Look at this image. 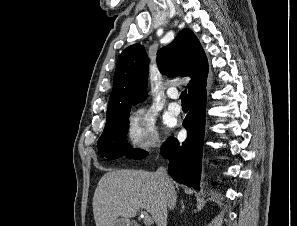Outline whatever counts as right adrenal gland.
Listing matches in <instances>:
<instances>
[{
	"instance_id": "obj_1",
	"label": "right adrenal gland",
	"mask_w": 297,
	"mask_h": 226,
	"mask_svg": "<svg viewBox=\"0 0 297 226\" xmlns=\"http://www.w3.org/2000/svg\"><path fill=\"white\" fill-rule=\"evenodd\" d=\"M185 210V205H184V201L181 200V210H180V213L182 214Z\"/></svg>"
}]
</instances>
